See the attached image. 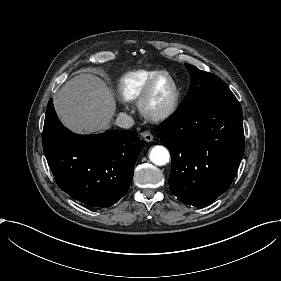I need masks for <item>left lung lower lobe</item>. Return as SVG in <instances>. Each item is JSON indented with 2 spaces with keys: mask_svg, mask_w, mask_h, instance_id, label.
<instances>
[{
  "mask_svg": "<svg viewBox=\"0 0 281 281\" xmlns=\"http://www.w3.org/2000/svg\"><path fill=\"white\" fill-rule=\"evenodd\" d=\"M242 121L230 98L178 109L159 125L172 158L169 185L180 201L206 205L229 188L244 153Z\"/></svg>",
  "mask_w": 281,
  "mask_h": 281,
  "instance_id": "obj_1",
  "label": "left lung lower lobe"
}]
</instances>
